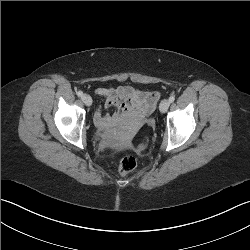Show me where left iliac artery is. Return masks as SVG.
Returning a JSON list of instances; mask_svg holds the SVG:
<instances>
[{"mask_svg": "<svg viewBox=\"0 0 250 250\" xmlns=\"http://www.w3.org/2000/svg\"><path fill=\"white\" fill-rule=\"evenodd\" d=\"M174 100H175V97H174V96H170V97H169V102H170V103L174 102Z\"/></svg>", "mask_w": 250, "mask_h": 250, "instance_id": "left-iliac-artery-1", "label": "left iliac artery"}]
</instances>
